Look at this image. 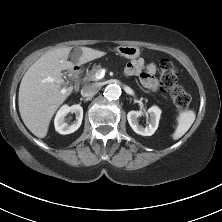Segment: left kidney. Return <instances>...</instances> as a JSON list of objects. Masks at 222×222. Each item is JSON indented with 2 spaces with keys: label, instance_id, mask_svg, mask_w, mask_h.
I'll list each match as a JSON object with an SVG mask.
<instances>
[{
  "label": "left kidney",
  "instance_id": "5707ae66",
  "mask_svg": "<svg viewBox=\"0 0 222 222\" xmlns=\"http://www.w3.org/2000/svg\"><path fill=\"white\" fill-rule=\"evenodd\" d=\"M147 113L149 114V125L145 128L142 125H139L138 120V118L143 115L142 111L132 110L127 114V119L131 128L134 130V132L142 136H151L157 130L161 110L157 106H152L148 109Z\"/></svg>",
  "mask_w": 222,
  "mask_h": 222
}]
</instances>
